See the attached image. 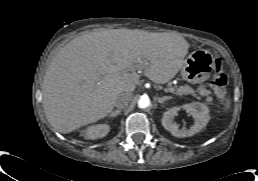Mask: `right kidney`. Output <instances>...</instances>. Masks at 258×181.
<instances>
[{
    "instance_id": "1",
    "label": "right kidney",
    "mask_w": 258,
    "mask_h": 181,
    "mask_svg": "<svg viewBox=\"0 0 258 181\" xmlns=\"http://www.w3.org/2000/svg\"><path fill=\"white\" fill-rule=\"evenodd\" d=\"M110 131V126L108 124H97L87 127L85 130L81 131V135L85 139L95 140L98 138L105 137Z\"/></svg>"
}]
</instances>
